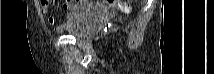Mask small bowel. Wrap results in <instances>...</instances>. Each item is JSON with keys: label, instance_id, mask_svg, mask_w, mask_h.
<instances>
[{"label": "small bowel", "instance_id": "small-bowel-1", "mask_svg": "<svg viewBox=\"0 0 214 74\" xmlns=\"http://www.w3.org/2000/svg\"><path fill=\"white\" fill-rule=\"evenodd\" d=\"M50 3H51L50 1H41L43 15L53 31L61 32L63 31V26L65 22H59L54 16L50 14L49 11ZM62 9L65 12V19H68L69 13L73 9V5L69 2H66L62 5Z\"/></svg>", "mask_w": 214, "mask_h": 74}]
</instances>
